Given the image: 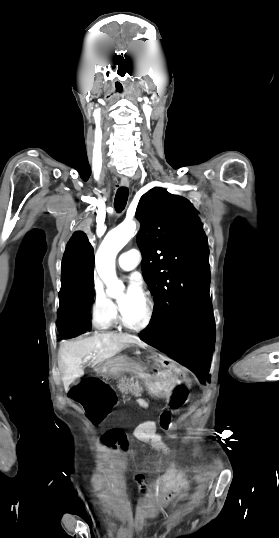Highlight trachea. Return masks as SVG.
Here are the masks:
<instances>
[{"label": "trachea", "mask_w": 279, "mask_h": 538, "mask_svg": "<svg viewBox=\"0 0 279 538\" xmlns=\"http://www.w3.org/2000/svg\"><path fill=\"white\" fill-rule=\"evenodd\" d=\"M129 190L127 187L118 188L115 199H114V208L116 212L120 213L124 210L127 200H128Z\"/></svg>", "instance_id": "3493384b"}]
</instances>
